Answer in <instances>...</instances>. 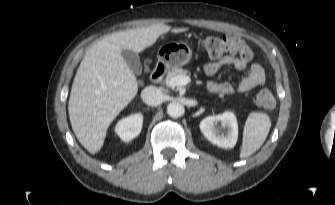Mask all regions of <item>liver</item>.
<instances>
[{"mask_svg":"<svg viewBox=\"0 0 335 205\" xmlns=\"http://www.w3.org/2000/svg\"><path fill=\"white\" fill-rule=\"evenodd\" d=\"M186 30L156 24L113 33L90 47L76 72L68 103L72 129L88 152L102 148L109 125L138 92L122 50L139 53L162 34Z\"/></svg>","mask_w":335,"mask_h":205,"instance_id":"1","label":"liver"}]
</instances>
